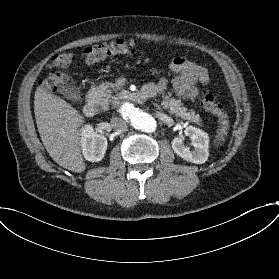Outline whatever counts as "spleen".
<instances>
[{"label":"spleen","instance_id":"spleen-1","mask_svg":"<svg viewBox=\"0 0 279 279\" xmlns=\"http://www.w3.org/2000/svg\"><path fill=\"white\" fill-rule=\"evenodd\" d=\"M218 132L216 138L213 140L214 142V148L218 149L220 148L227 137V132L229 130V120L227 113H223L218 117Z\"/></svg>","mask_w":279,"mask_h":279}]
</instances>
